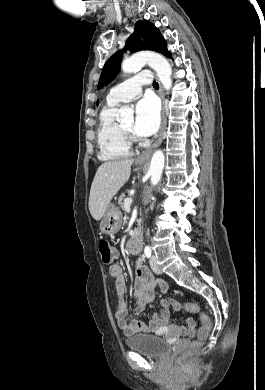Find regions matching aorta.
Instances as JSON below:
<instances>
[{
  "instance_id": "aorta-1",
  "label": "aorta",
  "mask_w": 265,
  "mask_h": 390,
  "mask_svg": "<svg viewBox=\"0 0 265 390\" xmlns=\"http://www.w3.org/2000/svg\"><path fill=\"white\" fill-rule=\"evenodd\" d=\"M145 64H148L154 69L159 77L165 90L169 91L172 86V68L167 59L154 52L137 53L128 59H125L122 63V71L124 73H132L140 70ZM121 122L133 121L134 110L130 107L123 106L120 111ZM165 156L161 150L154 152L149 173L151 175V183L153 186L157 185L161 179L162 171L164 168Z\"/></svg>"
}]
</instances>
